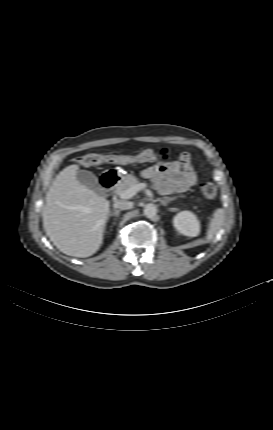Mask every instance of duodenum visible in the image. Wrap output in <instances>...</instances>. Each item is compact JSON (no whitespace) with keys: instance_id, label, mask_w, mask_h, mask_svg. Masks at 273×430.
<instances>
[{"instance_id":"duodenum-1","label":"duodenum","mask_w":273,"mask_h":430,"mask_svg":"<svg viewBox=\"0 0 273 430\" xmlns=\"http://www.w3.org/2000/svg\"><path fill=\"white\" fill-rule=\"evenodd\" d=\"M119 181V177L113 172H106L101 177V185L106 191L112 190Z\"/></svg>"}]
</instances>
